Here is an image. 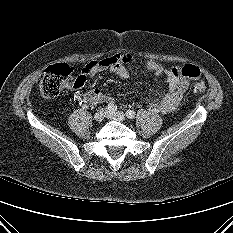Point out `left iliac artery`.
<instances>
[{"label": "left iliac artery", "mask_w": 233, "mask_h": 233, "mask_svg": "<svg viewBox=\"0 0 233 233\" xmlns=\"http://www.w3.org/2000/svg\"><path fill=\"white\" fill-rule=\"evenodd\" d=\"M135 115H136V113H135L134 110H128V111L126 112V116H127L128 119H133V118H135Z\"/></svg>", "instance_id": "1"}]
</instances>
